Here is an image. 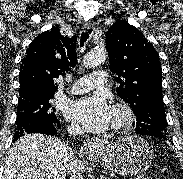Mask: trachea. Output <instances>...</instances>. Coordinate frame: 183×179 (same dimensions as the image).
<instances>
[{
	"label": "trachea",
	"mask_w": 183,
	"mask_h": 179,
	"mask_svg": "<svg viewBox=\"0 0 183 179\" xmlns=\"http://www.w3.org/2000/svg\"><path fill=\"white\" fill-rule=\"evenodd\" d=\"M92 32V30H88L87 32H82L81 38H80V45L83 47L84 43L87 41L89 34Z\"/></svg>",
	"instance_id": "obj_1"
}]
</instances>
